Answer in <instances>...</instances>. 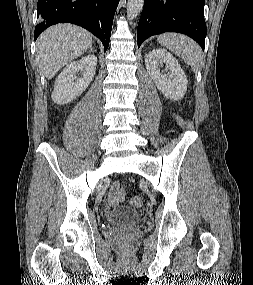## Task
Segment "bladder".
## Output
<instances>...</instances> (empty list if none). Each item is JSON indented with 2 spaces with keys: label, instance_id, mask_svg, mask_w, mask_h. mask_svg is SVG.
Wrapping results in <instances>:
<instances>
[{
  "label": "bladder",
  "instance_id": "obj_1",
  "mask_svg": "<svg viewBox=\"0 0 253 285\" xmlns=\"http://www.w3.org/2000/svg\"><path fill=\"white\" fill-rule=\"evenodd\" d=\"M107 221L116 226L133 225L141 220L140 212L125 206L117 207L106 215Z\"/></svg>",
  "mask_w": 253,
  "mask_h": 285
}]
</instances>
